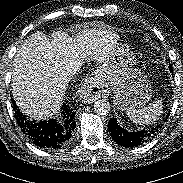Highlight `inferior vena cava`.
<instances>
[{
    "label": "inferior vena cava",
    "instance_id": "602c4592",
    "mask_svg": "<svg viewBox=\"0 0 183 183\" xmlns=\"http://www.w3.org/2000/svg\"><path fill=\"white\" fill-rule=\"evenodd\" d=\"M81 66H82V62L80 60L72 59L64 67L65 74L68 77L74 76L80 71Z\"/></svg>",
    "mask_w": 183,
    "mask_h": 183
}]
</instances>
